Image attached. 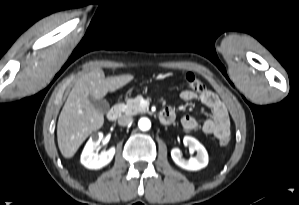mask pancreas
Listing matches in <instances>:
<instances>
[{
  "label": "pancreas",
  "mask_w": 299,
  "mask_h": 205,
  "mask_svg": "<svg viewBox=\"0 0 299 205\" xmlns=\"http://www.w3.org/2000/svg\"><path fill=\"white\" fill-rule=\"evenodd\" d=\"M143 97L138 95L135 98L128 99L125 103H120L117 108L126 115H136L138 113H146L147 109L140 106Z\"/></svg>",
  "instance_id": "obj_1"
}]
</instances>
